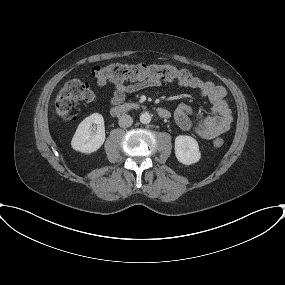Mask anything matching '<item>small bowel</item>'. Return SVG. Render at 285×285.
Wrapping results in <instances>:
<instances>
[{"mask_svg":"<svg viewBox=\"0 0 285 285\" xmlns=\"http://www.w3.org/2000/svg\"><path fill=\"white\" fill-rule=\"evenodd\" d=\"M161 81L144 79L131 83H115L110 102L120 104L127 93L137 92L148 87L158 86ZM180 86L196 89L200 97L212 104L210 114L196 113L192 107L185 103L179 104L174 112V119L180 129L192 132L194 135L210 140L229 130L232 122V113L226 98V90L211 81H204L194 77L191 81L180 82ZM195 115L197 120L192 121L190 115Z\"/></svg>","mask_w":285,"mask_h":285,"instance_id":"small-bowel-1","label":"small bowel"}]
</instances>
